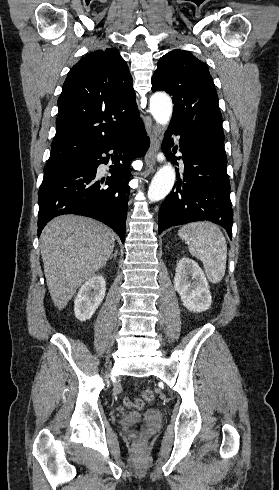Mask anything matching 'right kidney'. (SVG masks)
<instances>
[{"label":"right kidney","instance_id":"ca27d5eb","mask_svg":"<svg viewBox=\"0 0 279 490\" xmlns=\"http://www.w3.org/2000/svg\"><path fill=\"white\" fill-rule=\"evenodd\" d=\"M106 282L102 274H94L81 286L74 300V314L77 320H90L104 300Z\"/></svg>","mask_w":279,"mask_h":490}]
</instances>
